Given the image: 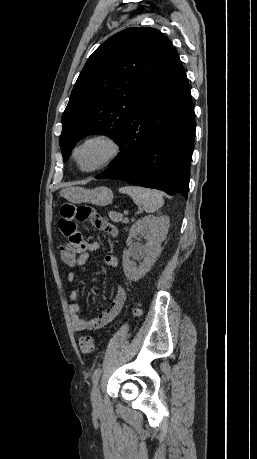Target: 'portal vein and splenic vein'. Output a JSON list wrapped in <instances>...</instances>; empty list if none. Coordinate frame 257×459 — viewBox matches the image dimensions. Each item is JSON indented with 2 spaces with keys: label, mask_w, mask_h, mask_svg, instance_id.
<instances>
[{
  "label": "portal vein and splenic vein",
  "mask_w": 257,
  "mask_h": 459,
  "mask_svg": "<svg viewBox=\"0 0 257 459\" xmlns=\"http://www.w3.org/2000/svg\"><path fill=\"white\" fill-rule=\"evenodd\" d=\"M125 214H127V212H125ZM124 222L127 223L128 222V218H125Z\"/></svg>",
  "instance_id": "obj_1"
}]
</instances>
